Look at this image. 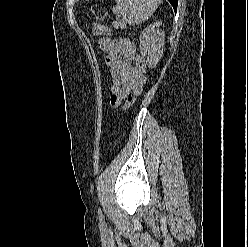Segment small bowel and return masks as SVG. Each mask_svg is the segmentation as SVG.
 <instances>
[{
  "mask_svg": "<svg viewBox=\"0 0 248 247\" xmlns=\"http://www.w3.org/2000/svg\"><path fill=\"white\" fill-rule=\"evenodd\" d=\"M99 47L105 55L110 79V105L130 106L141 94L144 78L135 66L140 56L136 45L128 39L101 38Z\"/></svg>",
  "mask_w": 248,
  "mask_h": 247,
  "instance_id": "obj_1",
  "label": "small bowel"
}]
</instances>
